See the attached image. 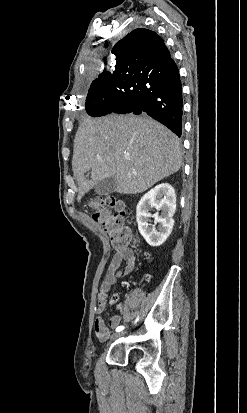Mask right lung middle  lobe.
<instances>
[{
	"label": "right lung middle lobe",
	"instance_id": "dd1d6c3e",
	"mask_svg": "<svg viewBox=\"0 0 247 413\" xmlns=\"http://www.w3.org/2000/svg\"><path fill=\"white\" fill-rule=\"evenodd\" d=\"M123 81H103L94 80L89 88L85 108L89 115L97 117L105 104L122 93L124 89Z\"/></svg>",
	"mask_w": 247,
	"mask_h": 413
}]
</instances>
